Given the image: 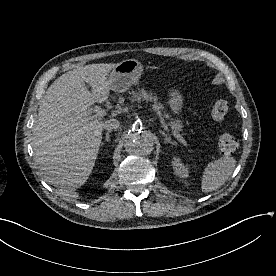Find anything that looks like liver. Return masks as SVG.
<instances>
[{
  "label": "liver",
  "mask_w": 276,
  "mask_h": 276,
  "mask_svg": "<svg viewBox=\"0 0 276 276\" xmlns=\"http://www.w3.org/2000/svg\"><path fill=\"white\" fill-rule=\"evenodd\" d=\"M116 65L91 64L66 72L50 85L39 105L34 154L45 180L61 194L81 187L95 166L104 123L90 118V107L108 100L109 73Z\"/></svg>",
  "instance_id": "obj_1"
}]
</instances>
